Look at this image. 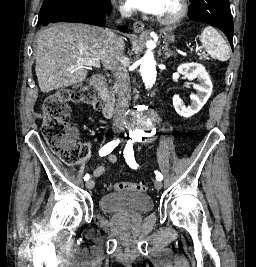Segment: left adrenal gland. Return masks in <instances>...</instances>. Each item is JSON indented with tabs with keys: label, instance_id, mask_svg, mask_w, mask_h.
<instances>
[{
	"label": "left adrenal gland",
	"instance_id": "1",
	"mask_svg": "<svg viewBox=\"0 0 256 267\" xmlns=\"http://www.w3.org/2000/svg\"><path fill=\"white\" fill-rule=\"evenodd\" d=\"M164 54H165L166 58H170V56H175V52H172V50H169V44H165Z\"/></svg>",
	"mask_w": 256,
	"mask_h": 267
}]
</instances>
